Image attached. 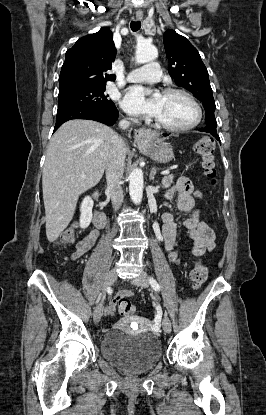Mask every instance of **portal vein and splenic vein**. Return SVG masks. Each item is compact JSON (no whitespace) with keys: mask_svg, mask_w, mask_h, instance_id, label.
<instances>
[{"mask_svg":"<svg viewBox=\"0 0 266 415\" xmlns=\"http://www.w3.org/2000/svg\"><path fill=\"white\" fill-rule=\"evenodd\" d=\"M169 173H170V170H168V169H167V170H164V171H162V172H161V174H164V175H167V174H169ZM81 177H82V178H86V176H85V175H82Z\"/></svg>","mask_w":266,"mask_h":415,"instance_id":"obj_1","label":"portal vein and splenic vein"}]
</instances>
